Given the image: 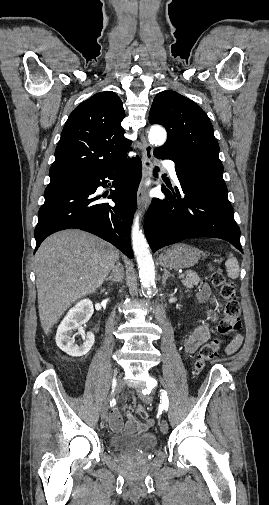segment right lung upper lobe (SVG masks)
Returning a JSON list of instances; mask_svg holds the SVG:
<instances>
[{
    "label": "right lung upper lobe",
    "mask_w": 269,
    "mask_h": 505,
    "mask_svg": "<svg viewBox=\"0 0 269 505\" xmlns=\"http://www.w3.org/2000/svg\"><path fill=\"white\" fill-rule=\"evenodd\" d=\"M124 117L122 101L112 91L82 102L64 125L47 187L79 180L126 158L132 142L123 136Z\"/></svg>",
    "instance_id": "right-lung-upper-lobe-1"
}]
</instances>
